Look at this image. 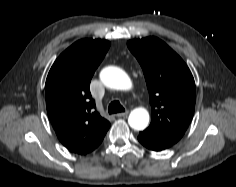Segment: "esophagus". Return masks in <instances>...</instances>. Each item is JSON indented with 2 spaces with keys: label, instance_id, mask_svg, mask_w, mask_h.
I'll list each match as a JSON object with an SVG mask.
<instances>
[{
  "label": "esophagus",
  "instance_id": "obj_1",
  "mask_svg": "<svg viewBox=\"0 0 236 187\" xmlns=\"http://www.w3.org/2000/svg\"><path fill=\"white\" fill-rule=\"evenodd\" d=\"M129 114V111H126V112H121V113H117L115 116L116 117H125Z\"/></svg>",
  "mask_w": 236,
  "mask_h": 187
}]
</instances>
